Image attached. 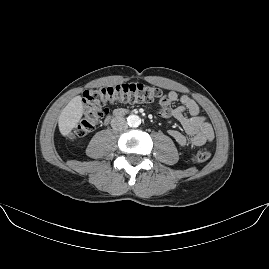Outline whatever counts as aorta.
Listing matches in <instances>:
<instances>
[{
	"label": "aorta",
	"instance_id": "aorta-1",
	"mask_svg": "<svg viewBox=\"0 0 269 269\" xmlns=\"http://www.w3.org/2000/svg\"><path fill=\"white\" fill-rule=\"evenodd\" d=\"M127 121L131 126H138L140 124V118L137 115L128 116Z\"/></svg>",
	"mask_w": 269,
	"mask_h": 269
}]
</instances>
